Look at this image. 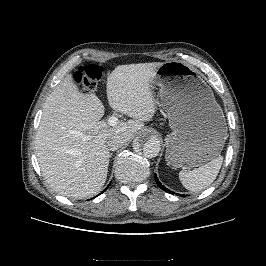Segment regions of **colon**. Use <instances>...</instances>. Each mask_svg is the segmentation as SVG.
Here are the masks:
<instances>
[{"mask_svg": "<svg viewBox=\"0 0 266 266\" xmlns=\"http://www.w3.org/2000/svg\"><path fill=\"white\" fill-rule=\"evenodd\" d=\"M102 76L103 70L99 65L88 64L78 68L75 80L85 94H90L94 91Z\"/></svg>", "mask_w": 266, "mask_h": 266, "instance_id": "colon-1", "label": "colon"}]
</instances>
